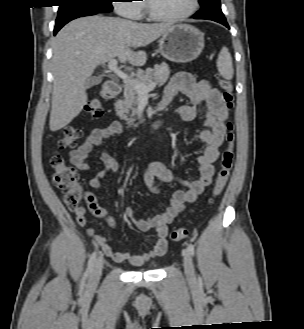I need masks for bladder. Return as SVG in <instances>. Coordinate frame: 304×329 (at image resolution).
Instances as JSON below:
<instances>
[{
    "instance_id": "obj_1",
    "label": "bladder",
    "mask_w": 304,
    "mask_h": 329,
    "mask_svg": "<svg viewBox=\"0 0 304 329\" xmlns=\"http://www.w3.org/2000/svg\"><path fill=\"white\" fill-rule=\"evenodd\" d=\"M157 265V262L154 260H151L147 263L146 267L149 269H153Z\"/></svg>"
}]
</instances>
